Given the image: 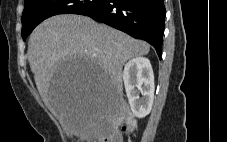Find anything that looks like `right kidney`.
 I'll return each mask as SVG.
<instances>
[{
  "mask_svg": "<svg viewBox=\"0 0 227 142\" xmlns=\"http://www.w3.org/2000/svg\"><path fill=\"white\" fill-rule=\"evenodd\" d=\"M123 80L133 114L144 118L151 111L155 90L154 74L149 59L137 57L127 62Z\"/></svg>",
  "mask_w": 227,
  "mask_h": 142,
  "instance_id": "ca27d5eb",
  "label": "right kidney"
}]
</instances>
